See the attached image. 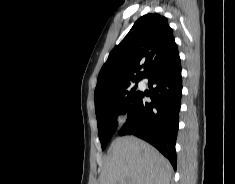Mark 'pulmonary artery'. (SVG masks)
<instances>
[{
    "label": "pulmonary artery",
    "instance_id": "e3ab8cb5",
    "mask_svg": "<svg viewBox=\"0 0 235 184\" xmlns=\"http://www.w3.org/2000/svg\"><path fill=\"white\" fill-rule=\"evenodd\" d=\"M141 86H144V83H140Z\"/></svg>",
    "mask_w": 235,
    "mask_h": 184
}]
</instances>
